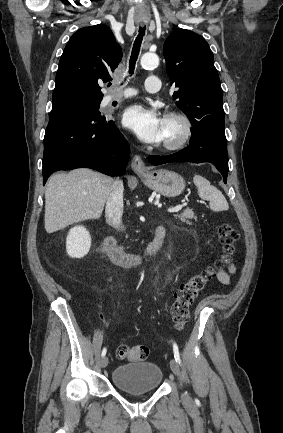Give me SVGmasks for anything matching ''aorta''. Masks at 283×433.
Masks as SVG:
<instances>
[{
	"label": "aorta",
	"instance_id": "762f6f07",
	"mask_svg": "<svg viewBox=\"0 0 283 433\" xmlns=\"http://www.w3.org/2000/svg\"><path fill=\"white\" fill-rule=\"evenodd\" d=\"M140 63L145 69L153 68L159 64V57L155 53H145L142 56Z\"/></svg>",
	"mask_w": 283,
	"mask_h": 433
}]
</instances>
